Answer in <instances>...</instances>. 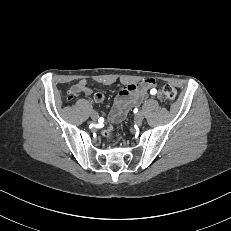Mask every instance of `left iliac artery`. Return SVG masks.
<instances>
[{"label": "left iliac artery", "instance_id": "1", "mask_svg": "<svg viewBox=\"0 0 231 231\" xmlns=\"http://www.w3.org/2000/svg\"><path fill=\"white\" fill-rule=\"evenodd\" d=\"M157 93V90L155 88L151 89L150 90V94L151 95H155Z\"/></svg>", "mask_w": 231, "mask_h": 231}]
</instances>
